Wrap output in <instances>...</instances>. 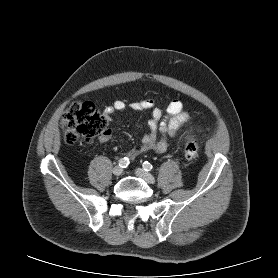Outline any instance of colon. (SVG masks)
<instances>
[{"instance_id":"1","label":"colon","mask_w":278,"mask_h":278,"mask_svg":"<svg viewBox=\"0 0 278 278\" xmlns=\"http://www.w3.org/2000/svg\"><path fill=\"white\" fill-rule=\"evenodd\" d=\"M107 118L91 102H74L65 110L62 117L64 140L68 145L79 139L92 142L106 132ZM184 155L194 160L199 155V146L195 139L188 136L184 144Z\"/></svg>"}]
</instances>
